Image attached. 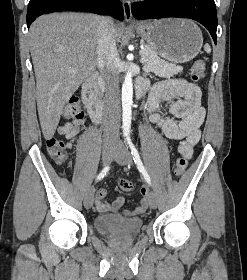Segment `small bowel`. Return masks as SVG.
Returning <instances> with one entry per match:
<instances>
[{
	"label": "small bowel",
	"instance_id": "c3829d8e",
	"mask_svg": "<svg viewBox=\"0 0 247 280\" xmlns=\"http://www.w3.org/2000/svg\"><path fill=\"white\" fill-rule=\"evenodd\" d=\"M145 85V82L140 83L141 87ZM200 99V88L185 80H165L155 84L148 99L147 110L151 121L162 130L167 139L180 142L178 151L186 159L193 156L194 147L201 137L200 127L205 119V109L201 106ZM161 101H173L170 111L178 120L162 118L157 113ZM83 123L84 117L73 119L58 128V133L68 140L67 147H72ZM141 194L143 198L134 210L136 214L145 212L148 206L147 190L142 188ZM107 198L106 189L98 190L95 199L96 209L102 213H117L124 204V198L119 196L111 202H107Z\"/></svg>",
	"mask_w": 247,
	"mask_h": 280
}]
</instances>
